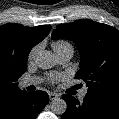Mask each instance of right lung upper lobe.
Returning <instances> with one entry per match:
<instances>
[{
	"instance_id": "1",
	"label": "right lung upper lobe",
	"mask_w": 119,
	"mask_h": 119,
	"mask_svg": "<svg viewBox=\"0 0 119 119\" xmlns=\"http://www.w3.org/2000/svg\"><path fill=\"white\" fill-rule=\"evenodd\" d=\"M50 25L24 27L19 24L0 26V116L25 91L17 80L26 71L27 56L32 47L49 33Z\"/></svg>"
}]
</instances>
